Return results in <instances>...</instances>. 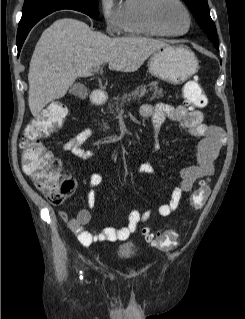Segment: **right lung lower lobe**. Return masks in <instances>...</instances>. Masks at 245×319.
Listing matches in <instances>:
<instances>
[{
  "instance_id": "1",
  "label": "right lung lower lobe",
  "mask_w": 245,
  "mask_h": 319,
  "mask_svg": "<svg viewBox=\"0 0 245 319\" xmlns=\"http://www.w3.org/2000/svg\"><path fill=\"white\" fill-rule=\"evenodd\" d=\"M39 21V20H38ZM38 21H35L25 27H22V28H18V31H17V47H18V52H20L21 50V47L29 33V31L31 30V28L38 22Z\"/></svg>"
}]
</instances>
